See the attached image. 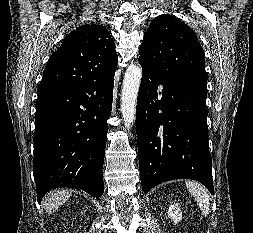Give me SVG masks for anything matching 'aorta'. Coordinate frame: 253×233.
<instances>
[{"mask_svg":"<svg viewBox=\"0 0 253 233\" xmlns=\"http://www.w3.org/2000/svg\"><path fill=\"white\" fill-rule=\"evenodd\" d=\"M142 78L139 65L130 64L125 72L121 93V113L126 129H130L135 121L138 91Z\"/></svg>","mask_w":253,"mask_h":233,"instance_id":"1","label":"aorta"}]
</instances>
